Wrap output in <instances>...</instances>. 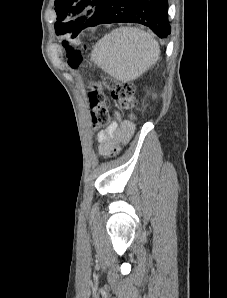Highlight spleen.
Here are the masks:
<instances>
[{"label": "spleen", "mask_w": 227, "mask_h": 298, "mask_svg": "<svg viewBox=\"0 0 227 298\" xmlns=\"http://www.w3.org/2000/svg\"><path fill=\"white\" fill-rule=\"evenodd\" d=\"M160 55L152 35L136 27H120L105 35L92 51V61L119 81L140 77Z\"/></svg>", "instance_id": "3e777b00"}]
</instances>
